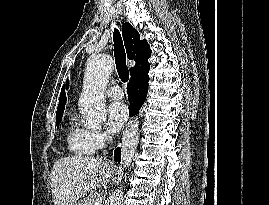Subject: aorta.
<instances>
[{
    "label": "aorta",
    "mask_w": 269,
    "mask_h": 205,
    "mask_svg": "<svg viewBox=\"0 0 269 205\" xmlns=\"http://www.w3.org/2000/svg\"><path fill=\"white\" fill-rule=\"evenodd\" d=\"M113 70L112 57L106 54L91 56L87 62L83 92L79 107L89 128H96L106 119L104 91ZM139 142V122L131 120L122 138L121 158L124 168L130 166ZM109 205H123V189L118 187L109 197Z\"/></svg>",
    "instance_id": "obj_1"
}]
</instances>
